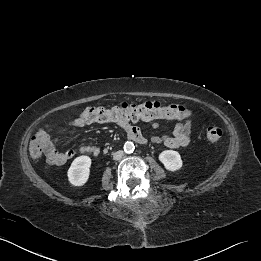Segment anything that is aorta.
<instances>
[{
  "mask_svg": "<svg viewBox=\"0 0 261 261\" xmlns=\"http://www.w3.org/2000/svg\"><path fill=\"white\" fill-rule=\"evenodd\" d=\"M134 149H135V145L133 144V142H126L124 144V151L126 153H133Z\"/></svg>",
  "mask_w": 261,
  "mask_h": 261,
  "instance_id": "obj_1",
  "label": "aorta"
}]
</instances>
